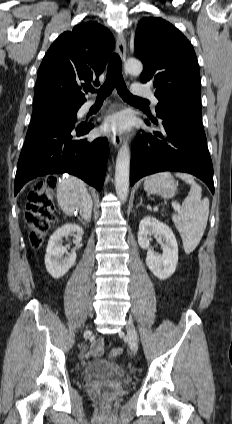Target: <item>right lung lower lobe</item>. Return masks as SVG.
<instances>
[{"label": "right lung lower lobe", "mask_w": 232, "mask_h": 424, "mask_svg": "<svg viewBox=\"0 0 232 424\" xmlns=\"http://www.w3.org/2000/svg\"><path fill=\"white\" fill-rule=\"evenodd\" d=\"M50 120L29 125L15 177L14 195L33 178L53 173H69L101 190L109 145L106 138L76 139L88 134L92 123L53 113Z\"/></svg>", "instance_id": "obj_1"}]
</instances>
